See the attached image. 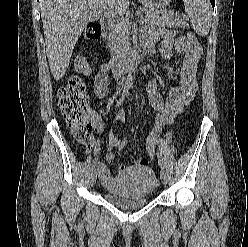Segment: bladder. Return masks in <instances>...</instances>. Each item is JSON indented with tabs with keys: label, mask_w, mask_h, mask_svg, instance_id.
Returning <instances> with one entry per match:
<instances>
[{
	"label": "bladder",
	"mask_w": 248,
	"mask_h": 247,
	"mask_svg": "<svg viewBox=\"0 0 248 247\" xmlns=\"http://www.w3.org/2000/svg\"><path fill=\"white\" fill-rule=\"evenodd\" d=\"M115 192L106 191L105 199L122 208L146 205L157 188L155 172L147 167H130L117 179Z\"/></svg>",
	"instance_id": "1"
}]
</instances>
